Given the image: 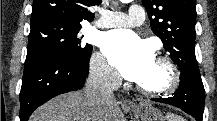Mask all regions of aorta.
Masks as SVG:
<instances>
[{
	"mask_svg": "<svg viewBox=\"0 0 217 121\" xmlns=\"http://www.w3.org/2000/svg\"><path fill=\"white\" fill-rule=\"evenodd\" d=\"M131 0H121V2H123V3H128V2H130Z\"/></svg>",
	"mask_w": 217,
	"mask_h": 121,
	"instance_id": "762f6f07",
	"label": "aorta"
}]
</instances>
